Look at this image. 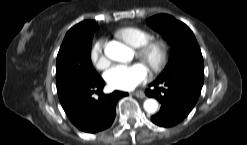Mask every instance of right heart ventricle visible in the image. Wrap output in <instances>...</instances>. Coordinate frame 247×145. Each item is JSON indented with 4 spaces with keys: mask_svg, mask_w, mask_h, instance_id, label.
Returning <instances> with one entry per match:
<instances>
[{
    "mask_svg": "<svg viewBox=\"0 0 247 145\" xmlns=\"http://www.w3.org/2000/svg\"><path fill=\"white\" fill-rule=\"evenodd\" d=\"M116 35L128 45L139 48L152 39L151 33L138 27H124Z\"/></svg>",
    "mask_w": 247,
    "mask_h": 145,
    "instance_id": "1",
    "label": "right heart ventricle"
}]
</instances>
